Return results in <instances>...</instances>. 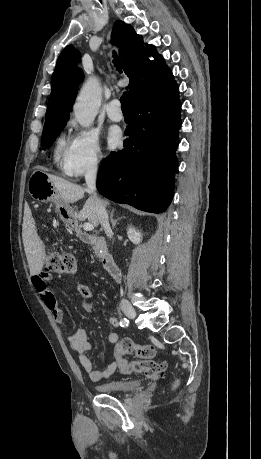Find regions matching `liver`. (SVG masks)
<instances>
[{"mask_svg": "<svg viewBox=\"0 0 261 459\" xmlns=\"http://www.w3.org/2000/svg\"><path fill=\"white\" fill-rule=\"evenodd\" d=\"M49 180L56 188L59 196L65 204L74 203L84 197L87 190L77 184L69 182L55 175L47 174ZM105 206L108 201L103 200ZM78 220H88L94 226L98 225V218L95 213L94 202L91 196L85 202L82 210L77 215ZM24 248L30 269V275H37L42 271L45 259V246L38 237L32 222L28 224L23 236Z\"/></svg>", "mask_w": 261, "mask_h": 459, "instance_id": "obj_1", "label": "liver"}]
</instances>
